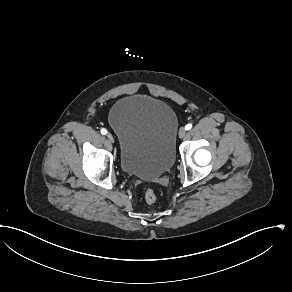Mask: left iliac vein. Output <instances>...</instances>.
Instances as JSON below:
<instances>
[{"label": "left iliac vein", "mask_w": 292, "mask_h": 292, "mask_svg": "<svg viewBox=\"0 0 292 292\" xmlns=\"http://www.w3.org/2000/svg\"><path fill=\"white\" fill-rule=\"evenodd\" d=\"M186 134H187V131H186L185 128H181V129L179 130V133H178L179 138H184V137L186 136Z\"/></svg>", "instance_id": "obj_1"}]
</instances>
